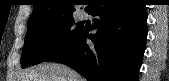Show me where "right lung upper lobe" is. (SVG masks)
<instances>
[{
  "instance_id": "cb5924a9",
  "label": "right lung upper lobe",
  "mask_w": 169,
  "mask_h": 81,
  "mask_svg": "<svg viewBox=\"0 0 169 81\" xmlns=\"http://www.w3.org/2000/svg\"><path fill=\"white\" fill-rule=\"evenodd\" d=\"M74 2L75 0H34V8L28 24L44 19L72 15L75 10L73 8ZM91 7L90 3L85 10L89 11Z\"/></svg>"
}]
</instances>
